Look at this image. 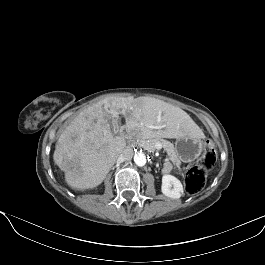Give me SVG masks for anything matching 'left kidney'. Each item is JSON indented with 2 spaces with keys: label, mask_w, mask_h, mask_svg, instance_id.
Masks as SVG:
<instances>
[{
  "label": "left kidney",
  "mask_w": 265,
  "mask_h": 265,
  "mask_svg": "<svg viewBox=\"0 0 265 265\" xmlns=\"http://www.w3.org/2000/svg\"><path fill=\"white\" fill-rule=\"evenodd\" d=\"M162 193L173 199H179L183 194V185L176 177L172 175H164L162 177Z\"/></svg>",
  "instance_id": "1"
}]
</instances>
